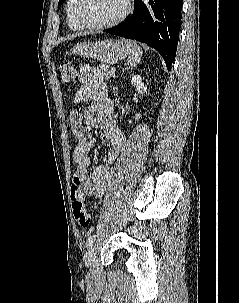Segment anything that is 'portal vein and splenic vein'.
<instances>
[{
	"label": "portal vein and splenic vein",
	"instance_id": "1",
	"mask_svg": "<svg viewBox=\"0 0 239 303\" xmlns=\"http://www.w3.org/2000/svg\"><path fill=\"white\" fill-rule=\"evenodd\" d=\"M110 70H111V72H115V69H114V68H111Z\"/></svg>",
	"mask_w": 239,
	"mask_h": 303
}]
</instances>
